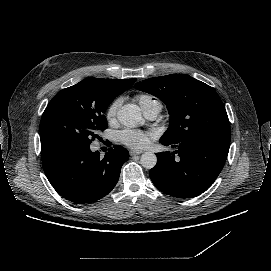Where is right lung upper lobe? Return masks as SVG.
I'll return each instance as SVG.
<instances>
[{"mask_svg":"<svg viewBox=\"0 0 271 271\" xmlns=\"http://www.w3.org/2000/svg\"><path fill=\"white\" fill-rule=\"evenodd\" d=\"M135 81L136 79L87 78L68 89L80 91L94 104L111 103L115 97L128 89Z\"/></svg>","mask_w":271,"mask_h":271,"instance_id":"right-lung-upper-lobe-1","label":"right lung upper lobe"}]
</instances>
